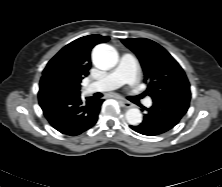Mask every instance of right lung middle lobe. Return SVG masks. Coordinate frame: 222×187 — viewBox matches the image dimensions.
<instances>
[{"mask_svg": "<svg viewBox=\"0 0 222 187\" xmlns=\"http://www.w3.org/2000/svg\"><path fill=\"white\" fill-rule=\"evenodd\" d=\"M62 82V84L66 87V88H68V89H70V90H72L71 89V87L68 85V84H66L65 82H63V81H61ZM73 91V90H72Z\"/></svg>", "mask_w": 222, "mask_h": 187, "instance_id": "obj_1", "label": "right lung middle lobe"}]
</instances>
